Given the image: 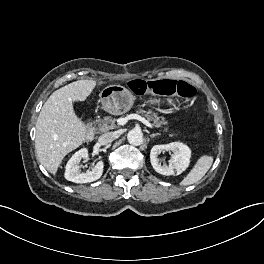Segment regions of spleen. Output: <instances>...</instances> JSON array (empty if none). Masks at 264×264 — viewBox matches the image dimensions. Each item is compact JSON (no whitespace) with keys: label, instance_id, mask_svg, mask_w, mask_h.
Masks as SVG:
<instances>
[{"label":"spleen","instance_id":"obj_1","mask_svg":"<svg viewBox=\"0 0 264 264\" xmlns=\"http://www.w3.org/2000/svg\"><path fill=\"white\" fill-rule=\"evenodd\" d=\"M213 160L212 156H201L188 175L180 182V185L188 186L199 182L212 166Z\"/></svg>","mask_w":264,"mask_h":264}]
</instances>
